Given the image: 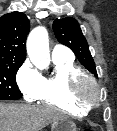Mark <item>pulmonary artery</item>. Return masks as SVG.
Returning a JSON list of instances; mask_svg holds the SVG:
<instances>
[{"label": "pulmonary artery", "instance_id": "1", "mask_svg": "<svg viewBox=\"0 0 117 131\" xmlns=\"http://www.w3.org/2000/svg\"><path fill=\"white\" fill-rule=\"evenodd\" d=\"M61 58H73V54L68 48L62 45H55L52 50V59L56 60Z\"/></svg>", "mask_w": 117, "mask_h": 131}]
</instances>
